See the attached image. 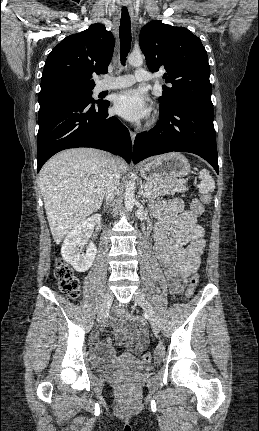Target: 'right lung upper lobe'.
Returning <instances> with one entry per match:
<instances>
[{
  "label": "right lung upper lobe",
  "mask_w": 259,
  "mask_h": 431,
  "mask_svg": "<svg viewBox=\"0 0 259 431\" xmlns=\"http://www.w3.org/2000/svg\"><path fill=\"white\" fill-rule=\"evenodd\" d=\"M114 37L102 24L64 38L45 62L41 90L54 82L94 88L93 73H106L114 49Z\"/></svg>",
  "instance_id": "cb5924a9"
}]
</instances>
